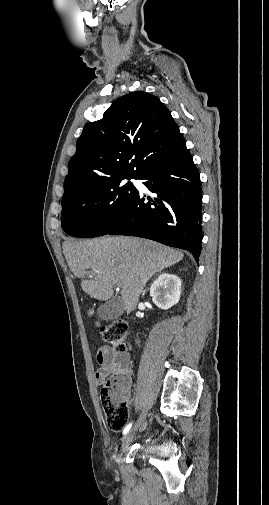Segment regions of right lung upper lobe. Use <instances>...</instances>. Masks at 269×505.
<instances>
[{
  "instance_id": "cb5924a9",
  "label": "right lung upper lobe",
  "mask_w": 269,
  "mask_h": 505,
  "mask_svg": "<svg viewBox=\"0 0 269 505\" xmlns=\"http://www.w3.org/2000/svg\"><path fill=\"white\" fill-rule=\"evenodd\" d=\"M183 144L178 126L156 96L144 91L124 95L101 120L84 126L68 164L62 201L108 182L138 179Z\"/></svg>"
}]
</instances>
